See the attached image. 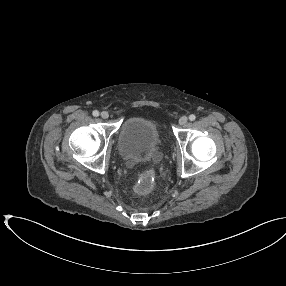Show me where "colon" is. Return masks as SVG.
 <instances>
[{"mask_svg": "<svg viewBox=\"0 0 286 286\" xmlns=\"http://www.w3.org/2000/svg\"><path fill=\"white\" fill-rule=\"evenodd\" d=\"M155 180V172L148 170L139 176L138 182L135 186V190L138 194L143 195L150 192Z\"/></svg>", "mask_w": 286, "mask_h": 286, "instance_id": "5ec220e1", "label": "colon"}]
</instances>
